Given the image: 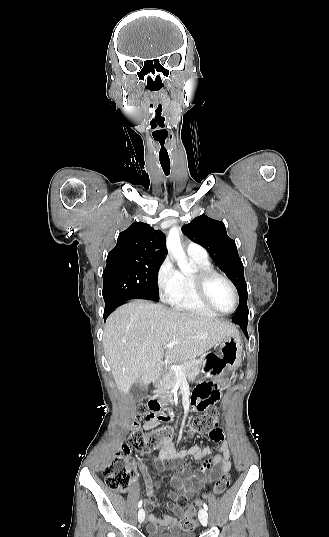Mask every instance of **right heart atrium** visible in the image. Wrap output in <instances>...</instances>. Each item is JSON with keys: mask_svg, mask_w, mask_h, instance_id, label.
I'll use <instances>...</instances> for the list:
<instances>
[{"mask_svg": "<svg viewBox=\"0 0 329 537\" xmlns=\"http://www.w3.org/2000/svg\"><path fill=\"white\" fill-rule=\"evenodd\" d=\"M156 283L160 297L165 301H169L179 291L180 272L169 258L164 259L159 266Z\"/></svg>", "mask_w": 329, "mask_h": 537, "instance_id": "1", "label": "right heart atrium"}]
</instances>
